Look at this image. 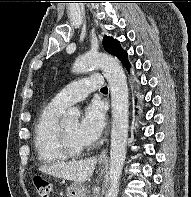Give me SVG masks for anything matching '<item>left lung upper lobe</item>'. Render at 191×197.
Instances as JSON below:
<instances>
[{
	"label": "left lung upper lobe",
	"instance_id": "obj_1",
	"mask_svg": "<svg viewBox=\"0 0 191 197\" xmlns=\"http://www.w3.org/2000/svg\"><path fill=\"white\" fill-rule=\"evenodd\" d=\"M102 44L108 53L115 55L123 63V65L129 67L127 54L122 50L118 40L113 39L110 36H104Z\"/></svg>",
	"mask_w": 191,
	"mask_h": 197
}]
</instances>
